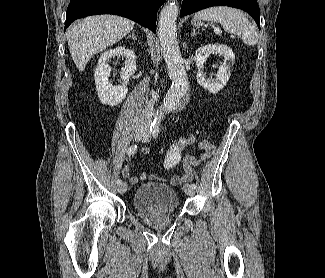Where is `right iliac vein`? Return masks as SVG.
Here are the masks:
<instances>
[{
	"label": "right iliac vein",
	"mask_w": 325,
	"mask_h": 278,
	"mask_svg": "<svg viewBox=\"0 0 325 278\" xmlns=\"http://www.w3.org/2000/svg\"><path fill=\"white\" fill-rule=\"evenodd\" d=\"M145 134V130L143 128H137L134 133L135 140H139ZM117 190L119 193L123 194L127 190V184L125 182L118 185Z\"/></svg>",
	"instance_id": "right-iliac-vein-1"
}]
</instances>
